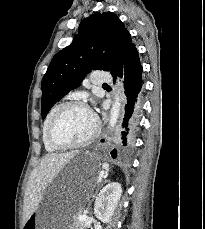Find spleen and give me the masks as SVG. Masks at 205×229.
<instances>
[{"label":"spleen","instance_id":"obj_1","mask_svg":"<svg viewBox=\"0 0 205 229\" xmlns=\"http://www.w3.org/2000/svg\"><path fill=\"white\" fill-rule=\"evenodd\" d=\"M103 169L105 170L106 173H108V170H109V165L104 163L103 164Z\"/></svg>","mask_w":205,"mask_h":229}]
</instances>
